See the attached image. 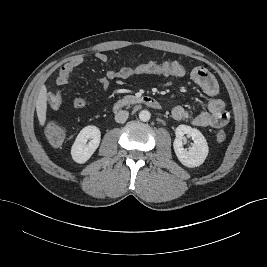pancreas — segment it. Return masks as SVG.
Listing matches in <instances>:
<instances>
[{
    "label": "pancreas",
    "mask_w": 267,
    "mask_h": 267,
    "mask_svg": "<svg viewBox=\"0 0 267 267\" xmlns=\"http://www.w3.org/2000/svg\"><path fill=\"white\" fill-rule=\"evenodd\" d=\"M125 98H126V99H132L133 96H126Z\"/></svg>",
    "instance_id": "obj_1"
}]
</instances>
